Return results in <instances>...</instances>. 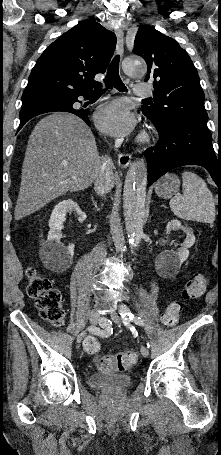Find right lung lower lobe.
<instances>
[{"instance_id":"1","label":"right lung lower lobe","mask_w":221,"mask_h":455,"mask_svg":"<svg viewBox=\"0 0 221 455\" xmlns=\"http://www.w3.org/2000/svg\"><path fill=\"white\" fill-rule=\"evenodd\" d=\"M93 91H94L93 89H86L77 94H74L71 98H68L67 100L62 101V102L39 104V105L27 107L25 109H21L20 125H19L18 130H20L23 127V125L31 118H33L37 115L43 114V113L56 112V111L69 112V113L75 114V115L79 116L80 118H82L87 124H90L88 116H87L88 110L74 109L72 106H73V103L79 102V100H78L79 96H84L86 98H90L93 95Z\"/></svg>"}]
</instances>
